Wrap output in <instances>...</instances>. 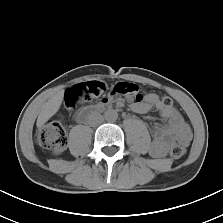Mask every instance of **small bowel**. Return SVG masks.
Listing matches in <instances>:
<instances>
[{
    "instance_id": "c3829d8e",
    "label": "small bowel",
    "mask_w": 223,
    "mask_h": 223,
    "mask_svg": "<svg viewBox=\"0 0 223 223\" xmlns=\"http://www.w3.org/2000/svg\"><path fill=\"white\" fill-rule=\"evenodd\" d=\"M109 98H103L99 105H108ZM130 106L136 113H147L152 107L159 110L160 116L164 120V125H156L153 128V141L149 148L152 157H163L168 148L176 141L189 143L192 133L188 124L184 121L178 110L171 104L164 106L161 99L156 94H148L143 99H130Z\"/></svg>"
}]
</instances>
